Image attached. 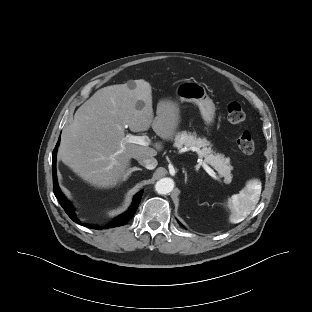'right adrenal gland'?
Instances as JSON below:
<instances>
[{"label": "right adrenal gland", "instance_id": "2a0ac1e0", "mask_svg": "<svg viewBox=\"0 0 312 312\" xmlns=\"http://www.w3.org/2000/svg\"><path fill=\"white\" fill-rule=\"evenodd\" d=\"M134 171H142V169L141 168H138V167H133V168H131V170H130V172H129V174L128 175H130L132 172H134Z\"/></svg>", "mask_w": 312, "mask_h": 312}]
</instances>
